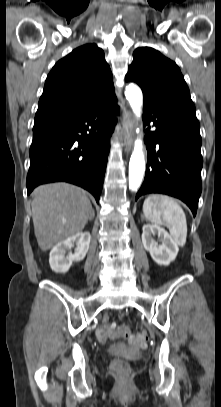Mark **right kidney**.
Wrapping results in <instances>:
<instances>
[{
	"label": "right kidney",
	"instance_id": "obj_1",
	"mask_svg": "<svg viewBox=\"0 0 221 407\" xmlns=\"http://www.w3.org/2000/svg\"><path fill=\"white\" fill-rule=\"evenodd\" d=\"M90 239V233L86 231L77 233L56 244L49 257L51 269L56 273H66L73 262L82 261L88 252ZM74 244L76 245L74 253L70 252L65 256L66 251L70 250Z\"/></svg>",
	"mask_w": 221,
	"mask_h": 407
}]
</instances>
